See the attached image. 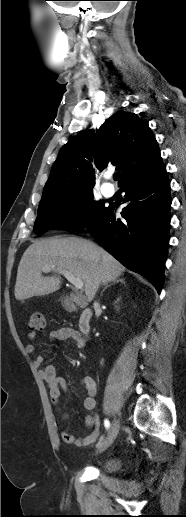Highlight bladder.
I'll use <instances>...</instances> for the list:
<instances>
[{
    "instance_id": "1",
    "label": "bladder",
    "mask_w": 186,
    "mask_h": 517,
    "mask_svg": "<svg viewBox=\"0 0 186 517\" xmlns=\"http://www.w3.org/2000/svg\"><path fill=\"white\" fill-rule=\"evenodd\" d=\"M120 467V462L118 459H111L104 465V470L106 471H116Z\"/></svg>"
}]
</instances>
